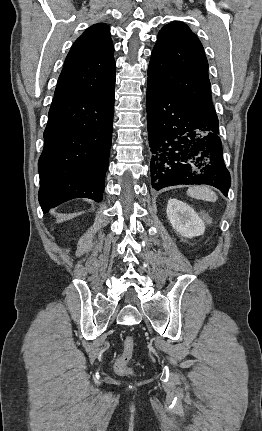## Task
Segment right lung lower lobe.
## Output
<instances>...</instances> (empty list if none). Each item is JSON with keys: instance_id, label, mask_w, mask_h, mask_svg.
Here are the masks:
<instances>
[{"instance_id": "1", "label": "right lung lower lobe", "mask_w": 262, "mask_h": 431, "mask_svg": "<svg viewBox=\"0 0 262 431\" xmlns=\"http://www.w3.org/2000/svg\"><path fill=\"white\" fill-rule=\"evenodd\" d=\"M114 95L53 98L38 163L44 213L77 197L102 201Z\"/></svg>"}]
</instances>
